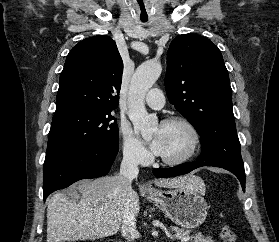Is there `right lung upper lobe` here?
Wrapping results in <instances>:
<instances>
[{"mask_svg": "<svg viewBox=\"0 0 279 242\" xmlns=\"http://www.w3.org/2000/svg\"><path fill=\"white\" fill-rule=\"evenodd\" d=\"M122 72L123 61L112 38L98 35L82 40L67 55L55 114L116 108Z\"/></svg>", "mask_w": 279, "mask_h": 242, "instance_id": "cb5924a9", "label": "right lung upper lobe"}]
</instances>
